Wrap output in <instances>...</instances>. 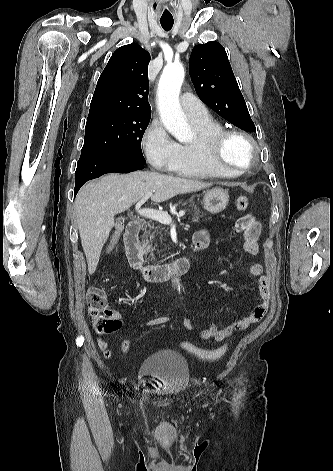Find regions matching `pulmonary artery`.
I'll return each mask as SVG.
<instances>
[{"label": "pulmonary artery", "instance_id": "e3ab8cb5", "mask_svg": "<svg viewBox=\"0 0 333 471\" xmlns=\"http://www.w3.org/2000/svg\"><path fill=\"white\" fill-rule=\"evenodd\" d=\"M181 106L189 119H201L208 115V110L201 100L190 93L181 96Z\"/></svg>", "mask_w": 333, "mask_h": 471}]
</instances>
